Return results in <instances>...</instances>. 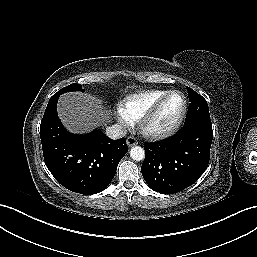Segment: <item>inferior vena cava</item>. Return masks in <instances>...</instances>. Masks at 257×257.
<instances>
[{"label": "inferior vena cava", "instance_id": "1", "mask_svg": "<svg viewBox=\"0 0 257 257\" xmlns=\"http://www.w3.org/2000/svg\"><path fill=\"white\" fill-rule=\"evenodd\" d=\"M126 134H127V130L119 124H114L106 128V135L110 139H114V140L119 139L124 137Z\"/></svg>", "mask_w": 257, "mask_h": 257}]
</instances>
